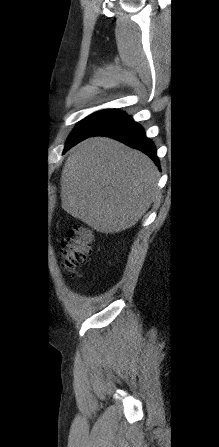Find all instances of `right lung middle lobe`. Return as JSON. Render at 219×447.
Returning <instances> with one entry per match:
<instances>
[{"label":"right lung middle lobe","mask_w":219,"mask_h":447,"mask_svg":"<svg viewBox=\"0 0 219 447\" xmlns=\"http://www.w3.org/2000/svg\"><path fill=\"white\" fill-rule=\"evenodd\" d=\"M125 115L126 114L118 111L117 109H107L91 114L90 116L80 121L77 127L71 133L67 140L65 151L69 146H72L77 142L92 136L105 126Z\"/></svg>","instance_id":"dd1d6c3e"}]
</instances>
